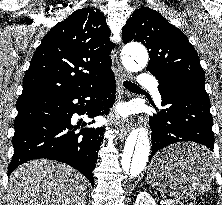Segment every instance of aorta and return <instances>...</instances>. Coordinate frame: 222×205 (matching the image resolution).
Returning a JSON list of instances; mask_svg holds the SVG:
<instances>
[{
    "instance_id": "aorta-1",
    "label": "aorta",
    "mask_w": 222,
    "mask_h": 205,
    "mask_svg": "<svg viewBox=\"0 0 222 205\" xmlns=\"http://www.w3.org/2000/svg\"><path fill=\"white\" fill-rule=\"evenodd\" d=\"M123 64L130 71H137L148 63V52L139 43H131L123 49ZM150 154L148 130L145 127L133 130L128 136L120 162L124 178L133 179L145 168Z\"/></svg>"
}]
</instances>
